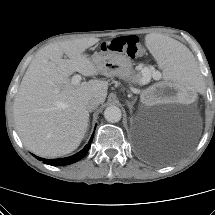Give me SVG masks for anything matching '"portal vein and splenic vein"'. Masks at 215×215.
Here are the masks:
<instances>
[{"label":"portal vein and splenic vein","mask_w":215,"mask_h":215,"mask_svg":"<svg viewBox=\"0 0 215 215\" xmlns=\"http://www.w3.org/2000/svg\"><path fill=\"white\" fill-rule=\"evenodd\" d=\"M153 78L158 80L159 79V74L153 73ZM81 80H82V77L79 74H75L71 79L73 84H79ZM148 82H149V77H145L143 84H146Z\"/></svg>","instance_id":"18ae733b"}]
</instances>
